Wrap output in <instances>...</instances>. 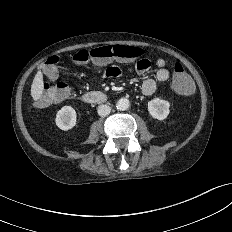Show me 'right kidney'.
Here are the masks:
<instances>
[{"label": "right kidney", "mask_w": 232, "mask_h": 232, "mask_svg": "<svg viewBox=\"0 0 232 232\" xmlns=\"http://www.w3.org/2000/svg\"><path fill=\"white\" fill-rule=\"evenodd\" d=\"M76 111L71 106H63L56 115V125L64 131L72 129L76 125Z\"/></svg>", "instance_id": "1"}]
</instances>
